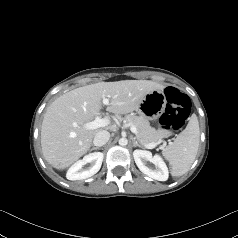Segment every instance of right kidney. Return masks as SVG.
Instances as JSON below:
<instances>
[{
	"instance_id": "ca27d5eb",
	"label": "right kidney",
	"mask_w": 238,
	"mask_h": 238,
	"mask_svg": "<svg viewBox=\"0 0 238 238\" xmlns=\"http://www.w3.org/2000/svg\"><path fill=\"white\" fill-rule=\"evenodd\" d=\"M103 157L101 152H94L84 156L82 160H78L69 168L66 174L67 179L74 181L93 176L100 170ZM87 163H92V167L89 170H82V167Z\"/></svg>"
}]
</instances>
